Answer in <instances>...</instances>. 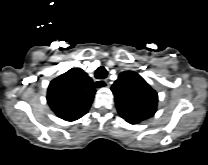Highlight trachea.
Here are the masks:
<instances>
[{"mask_svg":"<svg viewBox=\"0 0 208 165\" xmlns=\"http://www.w3.org/2000/svg\"><path fill=\"white\" fill-rule=\"evenodd\" d=\"M106 76H107V70L103 66L99 67L95 72V77L97 79H104ZM96 87L100 88L101 85L96 84Z\"/></svg>","mask_w":208,"mask_h":165,"instance_id":"3493384b","label":"trachea"}]
</instances>
